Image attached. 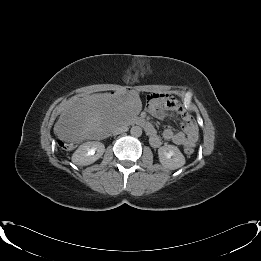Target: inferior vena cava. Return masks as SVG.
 I'll return each mask as SVG.
<instances>
[{"instance_id": "602c4592", "label": "inferior vena cava", "mask_w": 261, "mask_h": 261, "mask_svg": "<svg viewBox=\"0 0 261 261\" xmlns=\"http://www.w3.org/2000/svg\"><path fill=\"white\" fill-rule=\"evenodd\" d=\"M127 129H128V127L126 125H122V126L116 127L113 130V134L114 135H118L120 133H123V132L127 131Z\"/></svg>"}]
</instances>
